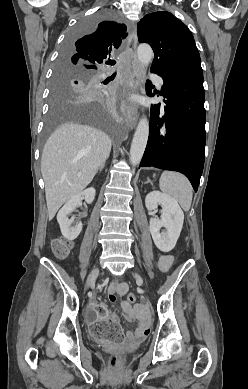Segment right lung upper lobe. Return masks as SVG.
<instances>
[{"label": "right lung upper lobe", "mask_w": 248, "mask_h": 389, "mask_svg": "<svg viewBox=\"0 0 248 389\" xmlns=\"http://www.w3.org/2000/svg\"><path fill=\"white\" fill-rule=\"evenodd\" d=\"M126 25L114 21H103L89 34L74 41L66 54L63 64L95 71L104 64L111 51L118 49L127 36Z\"/></svg>", "instance_id": "cb5924a9"}]
</instances>
